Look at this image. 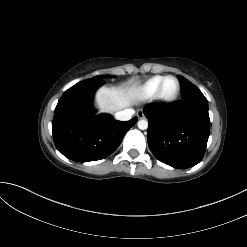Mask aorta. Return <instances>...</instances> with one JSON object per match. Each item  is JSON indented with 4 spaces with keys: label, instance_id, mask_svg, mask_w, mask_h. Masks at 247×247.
Returning a JSON list of instances; mask_svg holds the SVG:
<instances>
[{
    "label": "aorta",
    "instance_id": "762f6f07",
    "mask_svg": "<svg viewBox=\"0 0 247 247\" xmlns=\"http://www.w3.org/2000/svg\"><path fill=\"white\" fill-rule=\"evenodd\" d=\"M137 125L140 130H146L148 128L147 120H140L138 121Z\"/></svg>",
    "mask_w": 247,
    "mask_h": 247
}]
</instances>
